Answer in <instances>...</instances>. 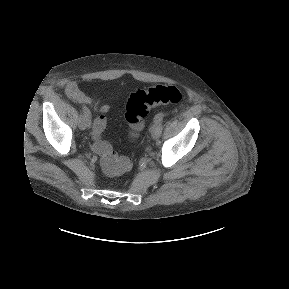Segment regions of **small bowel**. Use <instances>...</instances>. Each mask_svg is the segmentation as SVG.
<instances>
[{"mask_svg": "<svg viewBox=\"0 0 289 289\" xmlns=\"http://www.w3.org/2000/svg\"><path fill=\"white\" fill-rule=\"evenodd\" d=\"M65 93L68 98L71 100L83 104V105H90L92 103L91 97L85 94L77 85L76 82L70 81L65 86ZM109 105L105 104L100 107L101 113H107L109 111Z\"/></svg>", "mask_w": 289, "mask_h": 289, "instance_id": "1", "label": "small bowel"}]
</instances>
